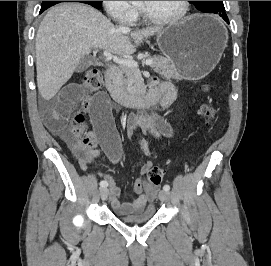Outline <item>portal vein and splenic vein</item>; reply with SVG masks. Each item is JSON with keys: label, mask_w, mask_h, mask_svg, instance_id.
<instances>
[{"label": "portal vein and splenic vein", "mask_w": 271, "mask_h": 266, "mask_svg": "<svg viewBox=\"0 0 271 266\" xmlns=\"http://www.w3.org/2000/svg\"><path fill=\"white\" fill-rule=\"evenodd\" d=\"M104 57L107 60H112L114 63H117L119 65L122 66H128V67H134V68H138V63L133 61V60H129V59H123L117 56H113L109 51L105 50L103 52ZM153 60H146L144 62H142V65H146V66H152L153 65Z\"/></svg>", "instance_id": "18ae733b"}]
</instances>
